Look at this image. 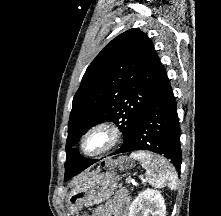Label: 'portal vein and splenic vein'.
Returning <instances> with one entry per match:
<instances>
[{
  "mask_svg": "<svg viewBox=\"0 0 221 216\" xmlns=\"http://www.w3.org/2000/svg\"><path fill=\"white\" fill-rule=\"evenodd\" d=\"M140 178H142V176ZM131 182L132 184H136V181L134 179H132Z\"/></svg>",
  "mask_w": 221,
  "mask_h": 216,
  "instance_id": "obj_1",
  "label": "portal vein and splenic vein"
}]
</instances>
